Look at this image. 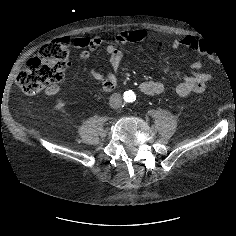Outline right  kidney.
Instances as JSON below:
<instances>
[{
	"label": "right kidney",
	"mask_w": 236,
	"mask_h": 236,
	"mask_svg": "<svg viewBox=\"0 0 236 236\" xmlns=\"http://www.w3.org/2000/svg\"><path fill=\"white\" fill-rule=\"evenodd\" d=\"M64 106H65V102L64 101H59L56 105V109L61 110V109H63Z\"/></svg>",
	"instance_id": "right-kidney-1"
}]
</instances>
